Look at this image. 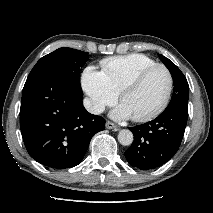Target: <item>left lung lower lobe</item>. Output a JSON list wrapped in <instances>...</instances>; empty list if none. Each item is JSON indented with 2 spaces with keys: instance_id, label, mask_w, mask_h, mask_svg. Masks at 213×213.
<instances>
[{
  "instance_id": "obj_1",
  "label": "left lung lower lobe",
  "mask_w": 213,
  "mask_h": 213,
  "mask_svg": "<svg viewBox=\"0 0 213 213\" xmlns=\"http://www.w3.org/2000/svg\"><path fill=\"white\" fill-rule=\"evenodd\" d=\"M188 116V108L167 106L154 120L129 128L134 142L125 151L132 167L142 170L165 164L179 149Z\"/></svg>"
}]
</instances>
